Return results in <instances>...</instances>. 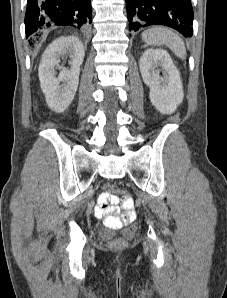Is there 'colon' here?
Listing matches in <instances>:
<instances>
[{"instance_id":"1","label":"colon","mask_w":227,"mask_h":298,"mask_svg":"<svg viewBox=\"0 0 227 298\" xmlns=\"http://www.w3.org/2000/svg\"><path fill=\"white\" fill-rule=\"evenodd\" d=\"M34 41L31 40L32 44ZM105 192L100 195L98 199V205L105 212L104 221L105 224L110 228L119 227L123 221L119 219L114 213L117 212V207L115 205V199H117L116 194H122L124 206L127 209H132L133 200L132 198L119 190L116 186L107 184L105 185ZM126 245V242L119 237H115L108 242V246L112 249H122Z\"/></svg>"}]
</instances>
